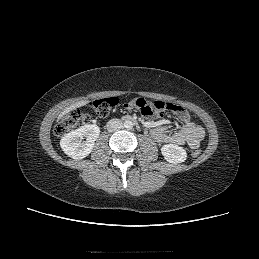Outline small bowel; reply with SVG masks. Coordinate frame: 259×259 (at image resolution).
Segmentation results:
<instances>
[{
  "label": "small bowel",
  "instance_id": "small-bowel-1",
  "mask_svg": "<svg viewBox=\"0 0 259 259\" xmlns=\"http://www.w3.org/2000/svg\"><path fill=\"white\" fill-rule=\"evenodd\" d=\"M182 122L181 129L170 132L164 125H154L151 129L152 137L160 144H188L190 148L196 149L205 137V130L201 125L192 121L189 113L181 106L175 105L171 110Z\"/></svg>",
  "mask_w": 259,
  "mask_h": 259
}]
</instances>
